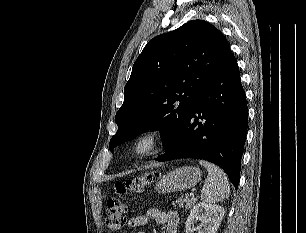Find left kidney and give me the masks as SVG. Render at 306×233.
<instances>
[{"instance_id": "obj_1", "label": "left kidney", "mask_w": 306, "mask_h": 233, "mask_svg": "<svg viewBox=\"0 0 306 233\" xmlns=\"http://www.w3.org/2000/svg\"><path fill=\"white\" fill-rule=\"evenodd\" d=\"M224 214L225 209L222 206L199 202L193 207L186 220L185 233H193L195 230L198 233H216ZM197 221L201 222L199 228L194 227Z\"/></svg>"}]
</instances>
